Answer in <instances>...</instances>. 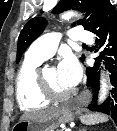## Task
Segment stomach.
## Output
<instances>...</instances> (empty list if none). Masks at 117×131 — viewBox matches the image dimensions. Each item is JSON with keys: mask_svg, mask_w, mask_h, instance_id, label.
<instances>
[{"mask_svg": "<svg viewBox=\"0 0 117 131\" xmlns=\"http://www.w3.org/2000/svg\"><path fill=\"white\" fill-rule=\"evenodd\" d=\"M72 106L65 105L54 113L38 119L20 120L13 127L14 131H58L62 124L73 121Z\"/></svg>", "mask_w": 117, "mask_h": 131, "instance_id": "stomach-1", "label": "stomach"}]
</instances>
